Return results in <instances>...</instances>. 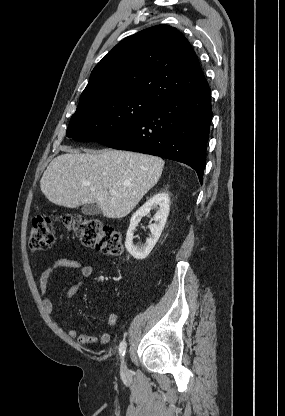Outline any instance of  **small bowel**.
Wrapping results in <instances>:
<instances>
[{"label": "small bowel", "instance_id": "1", "mask_svg": "<svg viewBox=\"0 0 285 416\" xmlns=\"http://www.w3.org/2000/svg\"><path fill=\"white\" fill-rule=\"evenodd\" d=\"M58 268H64L67 270H74L78 272L81 278H88L92 275L93 268L84 263H80L76 260L70 258H61L54 261L49 267H47L40 275L39 280V291L42 297V305L44 311L48 315H52L54 312V307L51 299L46 296L49 288L52 275L54 271ZM83 286V281H79L76 284L70 286L64 294L65 299H71ZM118 321V317L115 314H109L107 316V326L113 328ZM67 335L75 339L80 345H90V344H106L109 342L110 335L108 333H102L99 336H91L86 333H81L77 329H69Z\"/></svg>", "mask_w": 285, "mask_h": 416}]
</instances>
